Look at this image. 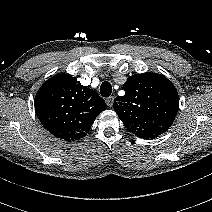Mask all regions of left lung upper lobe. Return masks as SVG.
Masks as SVG:
<instances>
[{"instance_id":"left-lung-upper-lobe-1","label":"left lung upper lobe","mask_w":212,"mask_h":212,"mask_svg":"<svg viewBox=\"0 0 212 212\" xmlns=\"http://www.w3.org/2000/svg\"><path fill=\"white\" fill-rule=\"evenodd\" d=\"M125 95L116 97L114 110L128 130L140 138L166 132L179 108L175 86L155 73L135 74L127 79Z\"/></svg>"}]
</instances>
